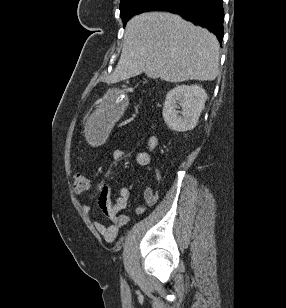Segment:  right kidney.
Here are the masks:
<instances>
[{
    "label": "right kidney",
    "mask_w": 286,
    "mask_h": 308,
    "mask_svg": "<svg viewBox=\"0 0 286 308\" xmlns=\"http://www.w3.org/2000/svg\"><path fill=\"white\" fill-rule=\"evenodd\" d=\"M206 99L207 94L201 86H176L166 95L162 112L165 123L176 132L192 130L197 125ZM177 103L182 108L181 116L178 115Z\"/></svg>",
    "instance_id": "1"
}]
</instances>
